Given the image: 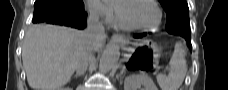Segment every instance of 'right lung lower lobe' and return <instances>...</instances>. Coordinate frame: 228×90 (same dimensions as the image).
<instances>
[{"mask_svg": "<svg viewBox=\"0 0 228 90\" xmlns=\"http://www.w3.org/2000/svg\"><path fill=\"white\" fill-rule=\"evenodd\" d=\"M69 0H37L34 4L33 23L65 25L78 29L86 27L84 4L76 6Z\"/></svg>", "mask_w": 228, "mask_h": 90, "instance_id": "1", "label": "right lung lower lobe"}]
</instances>
